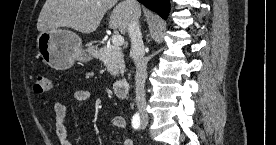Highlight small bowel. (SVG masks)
Returning <instances> with one entry per match:
<instances>
[{"instance_id":"c3829d8e","label":"small bowel","mask_w":276,"mask_h":145,"mask_svg":"<svg viewBox=\"0 0 276 145\" xmlns=\"http://www.w3.org/2000/svg\"><path fill=\"white\" fill-rule=\"evenodd\" d=\"M73 97L75 100L79 102H86L91 99V94L87 90L78 89L73 93ZM54 114H55V131L56 136L59 140L60 145H74L68 136V130L66 127V117H67V108L64 103L56 102L54 104ZM112 126L117 130H124L126 123L125 119L122 116H115L112 118ZM123 145H133L132 141L124 137Z\"/></svg>"}]
</instances>
